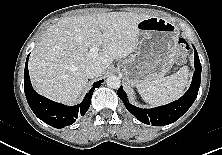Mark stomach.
Here are the masks:
<instances>
[{
	"instance_id": "stomach-1",
	"label": "stomach",
	"mask_w": 222,
	"mask_h": 155,
	"mask_svg": "<svg viewBox=\"0 0 222 155\" xmlns=\"http://www.w3.org/2000/svg\"><path fill=\"white\" fill-rule=\"evenodd\" d=\"M138 51L122 62L131 86L162 78L177 59L179 30L170 21L151 16L139 22Z\"/></svg>"
}]
</instances>
